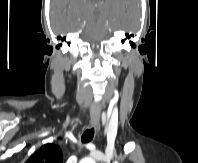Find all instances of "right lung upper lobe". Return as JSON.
Segmentation results:
<instances>
[{"label": "right lung upper lobe", "instance_id": "cb5924a9", "mask_svg": "<svg viewBox=\"0 0 198 163\" xmlns=\"http://www.w3.org/2000/svg\"><path fill=\"white\" fill-rule=\"evenodd\" d=\"M62 160L59 146L48 143L37 150L26 163H62Z\"/></svg>", "mask_w": 198, "mask_h": 163}]
</instances>
